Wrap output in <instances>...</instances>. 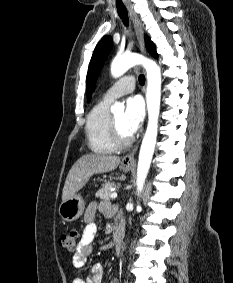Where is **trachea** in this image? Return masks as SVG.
Masks as SVG:
<instances>
[{
  "instance_id": "trachea-1",
  "label": "trachea",
  "mask_w": 233,
  "mask_h": 283,
  "mask_svg": "<svg viewBox=\"0 0 233 283\" xmlns=\"http://www.w3.org/2000/svg\"><path fill=\"white\" fill-rule=\"evenodd\" d=\"M117 12H118V15L120 16V18L122 19L124 25L128 26L129 20H128V14H127L126 8L124 6H117ZM139 83L141 85H144V83H145V76L144 75L139 76Z\"/></svg>"
}]
</instances>
